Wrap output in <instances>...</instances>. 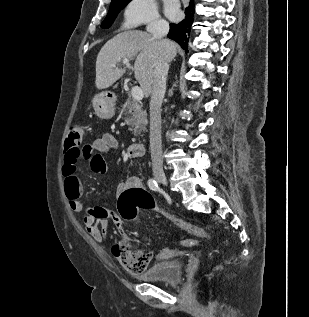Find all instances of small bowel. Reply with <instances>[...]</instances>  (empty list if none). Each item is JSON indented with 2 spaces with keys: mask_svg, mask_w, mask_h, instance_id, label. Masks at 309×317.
Listing matches in <instances>:
<instances>
[{
  "mask_svg": "<svg viewBox=\"0 0 309 317\" xmlns=\"http://www.w3.org/2000/svg\"><path fill=\"white\" fill-rule=\"evenodd\" d=\"M119 147L117 138L106 133L89 145V151L82 158L87 160L89 168L97 174L107 171L104 154ZM64 177V191L71 209L82 214V223L86 232L98 243L108 239V220L111 219L121 232H123V220L114 211L104 207H87L81 200L83 187L77 175V161L67 163L64 159L62 169ZM145 189L143 180L137 176H131L118 185V193L121 195L129 189Z\"/></svg>",
  "mask_w": 309,
  "mask_h": 317,
  "instance_id": "obj_1",
  "label": "small bowel"
}]
</instances>
